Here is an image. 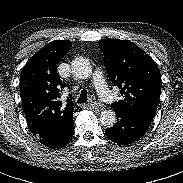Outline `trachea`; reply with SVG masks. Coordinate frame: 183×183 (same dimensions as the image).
<instances>
[{
    "label": "trachea",
    "mask_w": 183,
    "mask_h": 183,
    "mask_svg": "<svg viewBox=\"0 0 183 183\" xmlns=\"http://www.w3.org/2000/svg\"><path fill=\"white\" fill-rule=\"evenodd\" d=\"M87 91L86 90H82L78 100H77V103L79 104H82V103H86L87 102Z\"/></svg>",
    "instance_id": "1"
}]
</instances>
